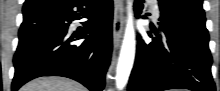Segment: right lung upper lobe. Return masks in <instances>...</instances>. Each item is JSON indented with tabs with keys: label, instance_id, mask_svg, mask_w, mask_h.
Instances as JSON below:
<instances>
[{
	"label": "right lung upper lobe",
	"instance_id": "right-lung-upper-lobe-1",
	"mask_svg": "<svg viewBox=\"0 0 220 91\" xmlns=\"http://www.w3.org/2000/svg\"><path fill=\"white\" fill-rule=\"evenodd\" d=\"M28 1H30V0H26L25 3H27ZM35 1H38L36 5H33L31 7L24 6L23 7V11L34 9V8H37V7H40V6H44V5H50L52 3H55L57 0H35Z\"/></svg>",
	"mask_w": 220,
	"mask_h": 91
}]
</instances>
